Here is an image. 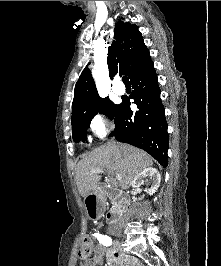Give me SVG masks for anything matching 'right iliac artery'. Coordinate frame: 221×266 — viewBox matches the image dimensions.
Segmentation results:
<instances>
[{"label":"right iliac artery","instance_id":"right-iliac-artery-1","mask_svg":"<svg viewBox=\"0 0 221 266\" xmlns=\"http://www.w3.org/2000/svg\"><path fill=\"white\" fill-rule=\"evenodd\" d=\"M95 237H97L99 243L104 246H110L112 244V239L107 235L97 234Z\"/></svg>","mask_w":221,"mask_h":266}]
</instances>
